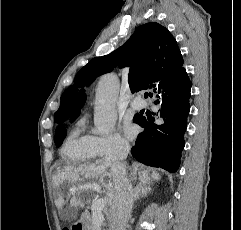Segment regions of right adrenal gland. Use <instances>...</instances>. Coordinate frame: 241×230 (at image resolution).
Segmentation results:
<instances>
[{"mask_svg":"<svg viewBox=\"0 0 241 230\" xmlns=\"http://www.w3.org/2000/svg\"><path fill=\"white\" fill-rule=\"evenodd\" d=\"M152 191L150 185H139L135 192V200L139 197H146Z\"/></svg>","mask_w":241,"mask_h":230,"instance_id":"2a0ac1e0","label":"right adrenal gland"}]
</instances>
